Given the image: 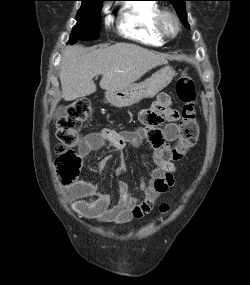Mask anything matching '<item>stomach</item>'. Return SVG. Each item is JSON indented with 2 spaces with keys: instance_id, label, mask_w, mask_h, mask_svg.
Returning a JSON list of instances; mask_svg holds the SVG:
<instances>
[{
  "instance_id": "1",
  "label": "stomach",
  "mask_w": 250,
  "mask_h": 285,
  "mask_svg": "<svg viewBox=\"0 0 250 285\" xmlns=\"http://www.w3.org/2000/svg\"><path fill=\"white\" fill-rule=\"evenodd\" d=\"M175 71L165 66L150 78L140 83H133L114 91H106L107 101L116 107H127L139 103L142 99L153 98L173 79Z\"/></svg>"
}]
</instances>
